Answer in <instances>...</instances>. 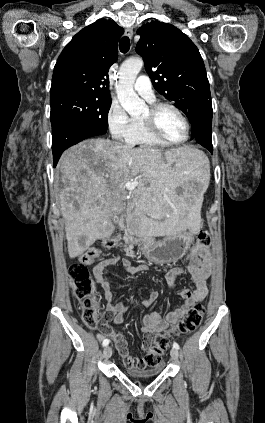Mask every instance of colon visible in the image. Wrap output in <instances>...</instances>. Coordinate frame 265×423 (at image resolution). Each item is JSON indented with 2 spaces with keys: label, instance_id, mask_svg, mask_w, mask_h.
I'll list each match as a JSON object with an SVG mask.
<instances>
[{
  "label": "colon",
  "instance_id": "1",
  "mask_svg": "<svg viewBox=\"0 0 265 423\" xmlns=\"http://www.w3.org/2000/svg\"><path fill=\"white\" fill-rule=\"evenodd\" d=\"M119 240L120 236H115L112 239L103 241L100 246L86 251L78 261L71 263L68 269L73 293L83 305V322L89 328L98 329L102 332L111 331L109 326L111 314L103 310L96 297L88 266L100 256L103 249L114 246ZM208 241V234L205 232L200 233L192 251L195 253L201 252L207 247ZM204 312V306L198 303L167 334L157 335L154 345L148 349L145 358L137 364V367L155 368L159 366L163 353L169 347L170 339L193 332L201 324Z\"/></svg>",
  "mask_w": 265,
  "mask_h": 423
}]
</instances>
